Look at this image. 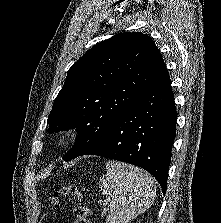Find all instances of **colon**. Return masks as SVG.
<instances>
[{
  "label": "colon",
  "mask_w": 221,
  "mask_h": 223,
  "mask_svg": "<svg viewBox=\"0 0 221 223\" xmlns=\"http://www.w3.org/2000/svg\"><path fill=\"white\" fill-rule=\"evenodd\" d=\"M80 196V192L75 185H65L55 190L52 197V202L56 203L61 196ZM90 209L87 206L81 205L74 210V223H90Z\"/></svg>",
  "instance_id": "obj_1"
}]
</instances>
